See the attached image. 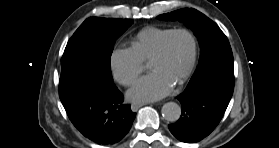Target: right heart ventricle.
Segmentation results:
<instances>
[{
    "label": "right heart ventricle",
    "instance_id": "obj_1",
    "mask_svg": "<svg viewBox=\"0 0 279 148\" xmlns=\"http://www.w3.org/2000/svg\"><path fill=\"white\" fill-rule=\"evenodd\" d=\"M171 31L172 29L147 27L136 35L132 42V48L143 61L149 62L163 38Z\"/></svg>",
    "mask_w": 279,
    "mask_h": 148
}]
</instances>
